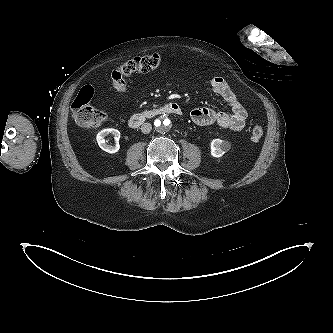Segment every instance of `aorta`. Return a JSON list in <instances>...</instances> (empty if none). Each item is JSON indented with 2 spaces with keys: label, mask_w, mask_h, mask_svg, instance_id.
Masks as SVG:
<instances>
[{
  "label": "aorta",
  "mask_w": 333,
  "mask_h": 333,
  "mask_svg": "<svg viewBox=\"0 0 333 333\" xmlns=\"http://www.w3.org/2000/svg\"><path fill=\"white\" fill-rule=\"evenodd\" d=\"M170 120L166 117L160 118L155 121V129L158 133H166L170 130Z\"/></svg>",
  "instance_id": "aorta-1"
}]
</instances>
